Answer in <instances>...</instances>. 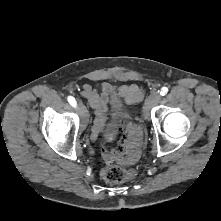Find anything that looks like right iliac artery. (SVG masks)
<instances>
[{"label": "right iliac artery", "instance_id": "1", "mask_svg": "<svg viewBox=\"0 0 221 221\" xmlns=\"http://www.w3.org/2000/svg\"><path fill=\"white\" fill-rule=\"evenodd\" d=\"M67 100H68V102L70 103V105H71L72 107H76V106H77V102H76V100H75L74 97L68 96V97H67Z\"/></svg>", "mask_w": 221, "mask_h": 221}]
</instances>
